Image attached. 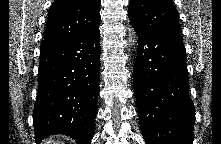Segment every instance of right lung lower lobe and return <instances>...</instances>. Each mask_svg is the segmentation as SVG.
<instances>
[{
    "label": "right lung lower lobe",
    "instance_id": "1",
    "mask_svg": "<svg viewBox=\"0 0 221 144\" xmlns=\"http://www.w3.org/2000/svg\"><path fill=\"white\" fill-rule=\"evenodd\" d=\"M99 27L41 52L33 111L35 140L64 134L90 144L98 112Z\"/></svg>",
    "mask_w": 221,
    "mask_h": 144
}]
</instances>
